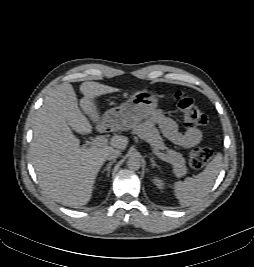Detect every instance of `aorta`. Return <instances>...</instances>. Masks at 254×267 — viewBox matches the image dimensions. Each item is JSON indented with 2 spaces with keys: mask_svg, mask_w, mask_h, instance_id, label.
<instances>
[{
  "mask_svg": "<svg viewBox=\"0 0 254 267\" xmlns=\"http://www.w3.org/2000/svg\"><path fill=\"white\" fill-rule=\"evenodd\" d=\"M127 166L130 170H138L141 167V158L137 154H132L127 161Z\"/></svg>",
  "mask_w": 254,
  "mask_h": 267,
  "instance_id": "1",
  "label": "aorta"
}]
</instances>
